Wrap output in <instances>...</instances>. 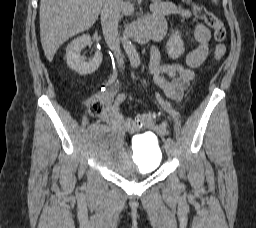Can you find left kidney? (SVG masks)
Wrapping results in <instances>:
<instances>
[{"mask_svg": "<svg viewBox=\"0 0 256 228\" xmlns=\"http://www.w3.org/2000/svg\"><path fill=\"white\" fill-rule=\"evenodd\" d=\"M167 54L172 59H177L184 52V43L181 39L180 33L175 31L170 36L166 44Z\"/></svg>", "mask_w": 256, "mask_h": 228, "instance_id": "5707ae66", "label": "left kidney"}]
</instances>
